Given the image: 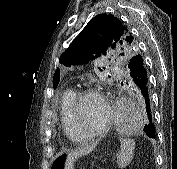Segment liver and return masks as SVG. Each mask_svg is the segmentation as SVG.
Segmentation results:
<instances>
[{"label": "liver", "instance_id": "1", "mask_svg": "<svg viewBox=\"0 0 177 169\" xmlns=\"http://www.w3.org/2000/svg\"><path fill=\"white\" fill-rule=\"evenodd\" d=\"M92 148H81L70 152L66 157L67 169H73V162L76 158L89 153Z\"/></svg>", "mask_w": 177, "mask_h": 169}]
</instances>
